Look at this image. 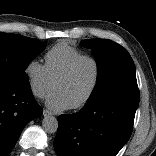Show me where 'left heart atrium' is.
I'll return each instance as SVG.
<instances>
[{
    "label": "left heart atrium",
    "instance_id": "1",
    "mask_svg": "<svg viewBox=\"0 0 156 156\" xmlns=\"http://www.w3.org/2000/svg\"><path fill=\"white\" fill-rule=\"evenodd\" d=\"M46 105L52 111H63L71 108V104L63 94L56 90L48 96Z\"/></svg>",
    "mask_w": 156,
    "mask_h": 156
}]
</instances>
